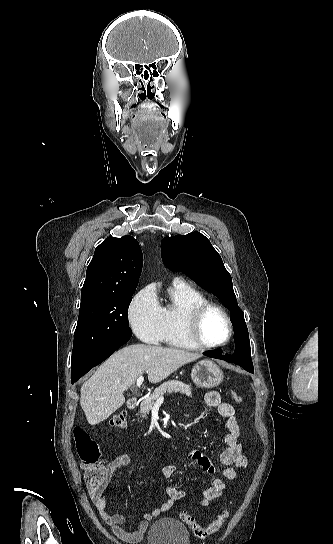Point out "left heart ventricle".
Masks as SVG:
<instances>
[{
    "label": "left heart ventricle",
    "mask_w": 333,
    "mask_h": 544,
    "mask_svg": "<svg viewBox=\"0 0 333 544\" xmlns=\"http://www.w3.org/2000/svg\"><path fill=\"white\" fill-rule=\"evenodd\" d=\"M201 335L207 343H219L228 336V326L224 316L216 309H210L204 316Z\"/></svg>",
    "instance_id": "b2bd125f"
}]
</instances>
